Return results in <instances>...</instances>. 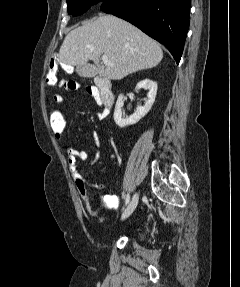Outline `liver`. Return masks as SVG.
Listing matches in <instances>:
<instances>
[{
  "label": "liver",
  "instance_id": "1",
  "mask_svg": "<svg viewBox=\"0 0 240 287\" xmlns=\"http://www.w3.org/2000/svg\"><path fill=\"white\" fill-rule=\"evenodd\" d=\"M105 54L109 63L100 64ZM163 58L160 45L134 25L113 15H100L70 31L58 54L62 65L93 61L97 74L120 80L129 74L157 66Z\"/></svg>",
  "mask_w": 240,
  "mask_h": 287
}]
</instances>
